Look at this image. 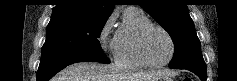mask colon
<instances>
[{
  "instance_id": "5ec220e1",
  "label": "colon",
  "mask_w": 237,
  "mask_h": 81,
  "mask_svg": "<svg viewBox=\"0 0 237 81\" xmlns=\"http://www.w3.org/2000/svg\"><path fill=\"white\" fill-rule=\"evenodd\" d=\"M182 81H192V80L189 77H185Z\"/></svg>"
}]
</instances>
